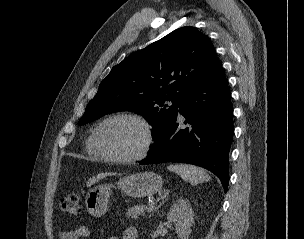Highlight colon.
<instances>
[{
    "label": "colon",
    "instance_id": "colon-1",
    "mask_svg": "<svg viewBox=\"0 0 304 239\" xmlns=\"http://www.w3.org/2000/svg\"><path fill=\"white\" fill-rule=\"evenodd\" d=\"M60 207L62 211L71 214L76 215L80 212L81 204H80V198L78 195L75 194H69L61 199Z\"/></svg>",
    "mask_w": 304,
    "mask_h": 239
}]
</instances>
